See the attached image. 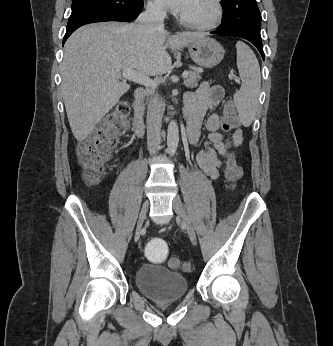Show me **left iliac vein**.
<instances>
[{
	"label": "left iliac vein",
	"instance_id": "left-iliac-vein-1",
	"mask_svg": "<svg viewBox=\"0 0 333 346\" xmlns=\"http://www.w3.org/2000/svg\"><path fill=\"white\" fill-rule=\"evenodd\" d=\"M172 207H173V210L175 211V213L178 214L182 218L183 225H184L192 243L196 244L197 243V237H196L195 229H194L193 224L190 221V219L186 213V210H185L183 203H182L179 196H175L173 198Z\"/></svg>",
	"mask_w": 333,
	"mask_h": 346
}]
</instances>
